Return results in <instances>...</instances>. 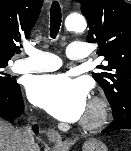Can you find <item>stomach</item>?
Instances as JSON below:
<instances>
[{"instance_id":"obj_1","label":"stomach","mask_w":131,"mask_h":151,"mask_svg":"<svg viewBox=\"0 0 131 151\" xmlns=\"http://www.w3.org/2000/svg\"><path fill=\"white\" fill-rule=\"evenodd\" d=\"M83 151H108L106 145L99 139H89L83 144Z\"/></svg>"}]
</instances>
